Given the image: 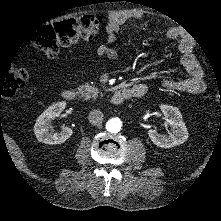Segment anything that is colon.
Instances as JSON below:
<instances>
[{"label":"colon","instance_id":"5ec220e1","mask_svg":"<svg viewBox=\"0 0 221 221\" xmlns=\"http://www.w3.org/2000/svg\"><path fill=\"white\" fill-rule=\"evenodd\" d=\"M104 24V18L98 15H86L39 27L32 36V44L47 57H56L61 48L69 47L78 40L94 39ZM24 68L12 69L0 80L3 96L15 95L26 82Z\"/></svg>","mask_w":221,"mask_h":221}]
</instances>
